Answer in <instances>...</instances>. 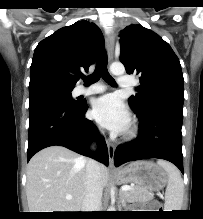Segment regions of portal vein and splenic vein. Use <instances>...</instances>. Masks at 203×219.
<instances>
[{
  "label": "portal vein and splenic vein",
  "instance_id": "1",
  "mask_svg": "<svg viewBox=\"0 0 203 219\" xmlns=\"http://www.w3.org/2000/svg\"><path fill=\"white\" fill-rule=\"evenodd\" d=\"M130 189H131L130 186H122V187H121V190H122V191H128V190H130ZM66 199L70 200V199H72V196H71V195H67V196H66Z\"/></svg>",
  "mask_w": 203,
  "mask_h": 219
}]
</instances>
